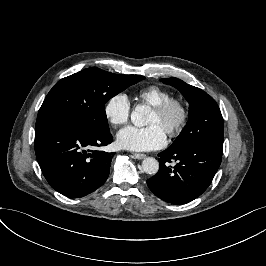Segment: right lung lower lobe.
Returning a JSON list of instances; mask_svg holds the SVG:
<instances>
[{
    "label": "right lung lower lobe",
    "instance_id": "1",
    "mask_svg": "<svg viewBox=\"0 0 266 266\" xmlns=\"http://www.w3.org/2000/svg\"><path fill=\"white\" fill-rule=\"evenodd\" d=\"M113 141L110 131L94 132L68 120L35 128V153L42 173L53 189L83 197L104 184L114 153L91 150Z\"/></svg>",
    "mask_w": 266,
    "mask_h": 266
}]
</instances>
